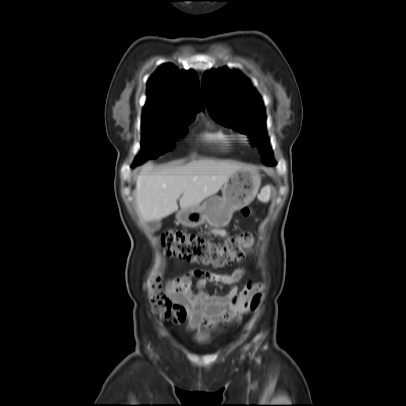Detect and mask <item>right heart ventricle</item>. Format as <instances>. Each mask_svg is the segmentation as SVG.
I'll return each mask as SVG.
<instances>
[{"instance_id": "right-heart-ventricle-1", "label": "right heart ventricle", "mask_w": 406, "mask_h": 406, "mask_svg": "<svg viewBox=\"0 0 406 406\" xmlns=\"http://www.w3.org/2000/svg\"><path fill=\"white\" fill-rule=\"evenodd\" d=\"M204 139L223 147L232 146L235 143V136L225 130H210L204 133Z\"/></svg>"}]
</instances>
